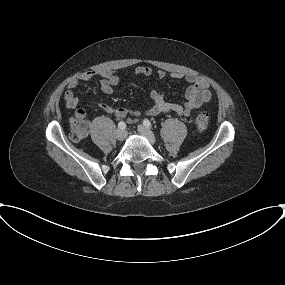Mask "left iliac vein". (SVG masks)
<instances>
[{
  "label": "left iliac vein",
  "instance_id": "4c4485c4",
  "mask_svg": "<svg viewBox=\"0 0 285 285\" xmlns=\"http://www.w3.org/2000/svg\"><path fill=\"white\" fill-rule=\"evenodd\" d=\"M138 132H139L142 136L146 137V138L149 140V142H150L151 144H154V143L156 142L153 133H152L148 128H146L145 126L139 125V126H138Z\"/></svg>",
  "mask_w": 285,
  "mask_h": 285
}]
</instances>
